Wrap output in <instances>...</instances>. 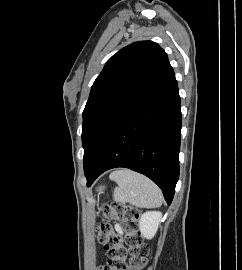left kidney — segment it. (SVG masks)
<instances>
[{"instance_id": "1", "label": "left kidney", "mask_w": 242, "mask_h": 270, "mask_svg": "<svg viewBox=\"0 0 242 270\" xmlns=\"http://www.w3.org/2000/svg\"><path fill=\"white\" fill-rule=\"evenodd\" d=\"M162 213L159 211H147L143 213L139 221L141 235L146 239H152L160 224Z\"/></svg>"}]
</instances>
